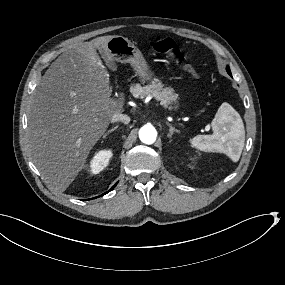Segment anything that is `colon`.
Masks as SVG:
<instances>
[{"label":"colon","instance_id":"obj_1","mask_svg":"<svg viewBox=\"0 0 285 285\" xmlns=\"http://www.w3.org/2000/svg\"><path fill=\"white\" fill-rule=\"evenodd\" d=\"M149 47L156 53L163 54L182 67L183 70L193 76H198V71L190 65L185 56L182 55L181 51L177 47L176 42L171 38H164L159 40H152L149 42Z\"/></svg>","mask_w":285,"mask_h":285}]
</instances>
